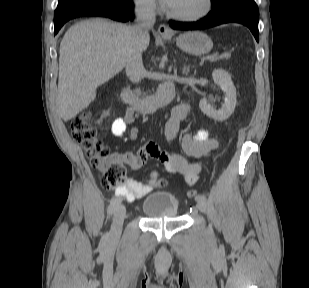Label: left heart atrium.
<instances>
[{"label":"left heart atrium","mask_w":309,"mask_h":288,"mask_svg":"<svg viewBox=\"0 0 309 288\" xmlns=\"http://www.w3.org/2000/svg\"><path fill=\"white\" fill-rule=\"evenodd\" d=\"M172 1H173V0H163V2H164L166 5H168V6H170V4L172 3Z\"/></svg>","instance_id":"1"}]
</instances>
